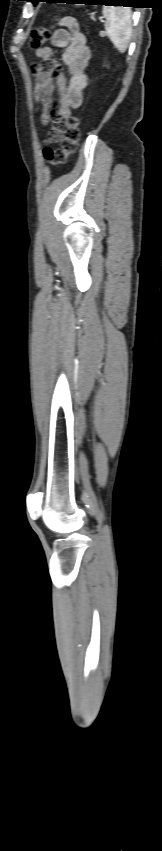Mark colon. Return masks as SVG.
Returning <instances> with one entry per match:
<instances>
[{
	"mask_svg": "<svg viewBox=\"0 0 162 851\" xmlns=\"http://www.w3.org/2000/svg\"><path fill=\"white\" fill-rule=\"evenodd\" d=\"M50 37V30L46 27H38L32 30L30 34V47L40 48ZM58 137L59 147L43 149L44 159L52 164H63L67 158L73 154L78 145L80 137V120L76 116H70L65 121H60L55 126L53 132Z\"/></svg>",
	"mask_w": 162,
	"mask_h": 851,
	"instance_id": "colon-1",
	"label": "colon"
}]
</instances>
